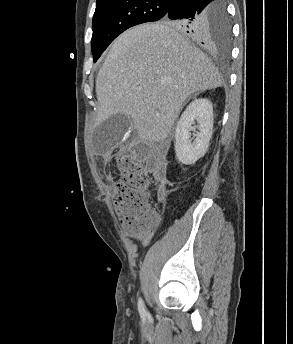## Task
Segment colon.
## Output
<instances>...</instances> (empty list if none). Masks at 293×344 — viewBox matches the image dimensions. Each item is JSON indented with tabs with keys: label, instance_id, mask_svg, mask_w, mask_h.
Wrapping results in <instances>:
<instances>
[{
	"label": "colon",
	"instance_id": "1",
	"mask_svg": "<svg viewBox=\"0 0 293 344\" xmlns=\"http://www.w3.org/2000/svg\"><path fill=\"white\" fill-rule=\"evenodd\" d=\"M122 180L114 185V209L126 233L130 236L151 235L159 222V212L148 200V178L129 156L114 157Z\"/></svg>",
	"mask_w": 293,
	"mask_h": 344
}]
</instances>
